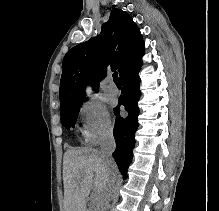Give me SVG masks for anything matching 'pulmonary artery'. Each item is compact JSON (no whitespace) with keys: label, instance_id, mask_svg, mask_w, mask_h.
<instances>
[{"label":"pulmonary artery","instance_id":"obj_1","mask_svg":"<svg viewBox=\"0 0 219 211\" xmlns=\"http://www.w3.org/2000/svg\"><path fill=\"white\" fill-rule=\"evenodd\" d=\"M108 82H109V85L107 88L108 93L110 95L117 96L120 93L118 87L115 85L112 78H109Z\"/></svg>","mask_w":219,"mask_h":211}]
</instances>
